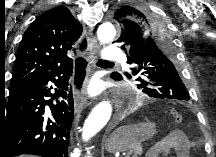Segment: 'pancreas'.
<instances>
[{"label": "pancreas", "instance_id": "pancreas-1", "mask_svg": "<svg viewBox=\"0 0 216 157\" xmlns=\"http://www.w3.org/2000/svg\"><path fill=\"white\" fill-rule=\"evenodd\" d=\"M141 154H142V148L137 147V148L131 150L128 153L127 157H139V155H141Z\"/></svg>", "mask_w": 216, "mask_h": 157}]
</instances>
